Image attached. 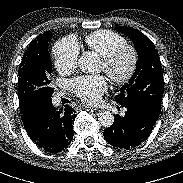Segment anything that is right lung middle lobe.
<instances>
[{
	"instance_id": "right-lung-middle-lobe-1",
	"label": "right lung middle lobe",
	"mask_w": 183,
	"mask_h": 183,
	"mask_svg": "<svg viewBox=\"0 0 183 183\" xmlns=\"http://www.w3.org/2000/svg\"><path fill=\"white\" fill-rule=\"evenodd\" d=\"M51 38L52 35L45 38L41 46L33 49L20 64L18 77L20 108L34 100L49 99L53 94L49 80L52 64L48 43Z\"/></svg>"
}]
</instances>
